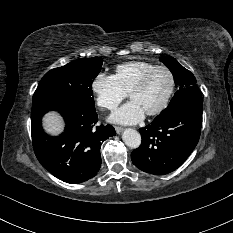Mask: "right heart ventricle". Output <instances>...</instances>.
Instances as JSON below:
<instances>
[{
    "mask_svg": "<svg viewBox=\"0 0 233 233\" xmlns=\"http://www.w3.org/2000/svg\"><path fill=\"white\" fill-rule=\"evenodd\" d=\"M157 65L147 61H128L118 64L114 69V78L123 91L128 93L140 78Z\"/></svg>",
    "mask_w": 233,
    "mask_h": 233,
    "instance_id": "obj_1",
    "label": "right heart ventricle"
}]
</instances>
